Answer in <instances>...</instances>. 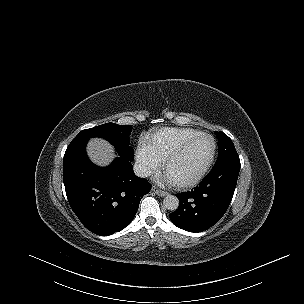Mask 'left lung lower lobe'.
<instances>
[{
    "instance_id": "obj_1",
    "label": "left lung lower lobe",
    "mask_w": 304,
    "mask_h": 304,
    "mask_svg": "<svg viewBox=\"0 0 304 304\" xmlns=\"http://www.w3.org/2000/svg\"><path fill=\"white\" fill-rule=\"evenodd\" d=\"M240 166V160H233L212 168L192 191L176 194L180 206L170 214L172 222L189 232L215 225L232 200Z\"/></svg>"
}]
</instances>
